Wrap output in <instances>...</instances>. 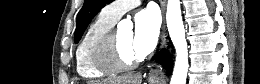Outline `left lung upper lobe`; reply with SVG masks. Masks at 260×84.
Listing matches in <instances>:
<instances>
[{
  "label": "left lung upper lobe",
  "instance_id": "obj_1",
  "mask_svg": "<svg viewBox=\"0 0 260 84\" xmlns=\"http://www.w3.org/2000/svg\"><path fill=\"white\" fill-rule=\"evenodd\" d=\"M112 0H85L76 20L75 42H78L95 15Z\"/></svg>",
  "mask_w": 260,
  "mask_h": 84
}]
</instances>
